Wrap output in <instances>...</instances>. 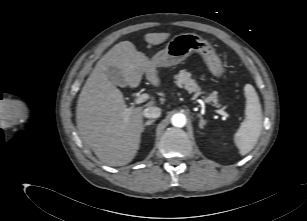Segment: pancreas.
<instances>
[{"mask_svg": "<svg viewBox=\"0 0 307 221\" xmlns=\"http://www.w3.org/2000/svg\"><path fill=\"white\" fill-rule=\"evenodd\" d=\"M175 78L176 85L185 88L189 93H195V96H198L201 93V88L198 86L196 81L191 78L189 72L182 70L175 76ZM204 100L208 103H213L215 106H219L217 94L215 92L209 94Z\"/></svg>", "mask_w": 307, "mask_h": 221, "instance_id": "obj_1", "label": "pancreas"}]
</instances>
